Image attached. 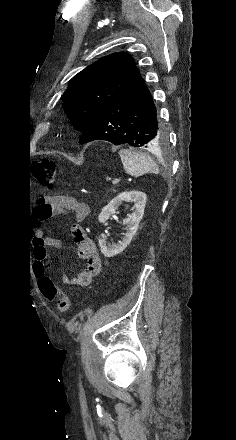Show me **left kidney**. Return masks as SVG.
<instances>
[{
	"mask_svg": "<svg viewBox=\"0 0 236 440\" xmlns=\"http://www.w3.org/2000/svg\"><path fill=\"white\" fill-rule=\"evenodd\" d=\"M146 194L140 191L122 192L113 198L108 205H106L98 216L100 223L105 224L109 217L116 213V210L123 202H134L135 210L123 220L126 226V234L117 244L107 246V238L105 234H101L99 238L100 250L105 257H113L121 253L131 242L133 236L136 234L139 223L142 220L144 209L146 205Z\"/></svg>",
	"mask_w": 236,
	"mask_h": 440,
	"instance_id": "obj_1",
	"label": "left kidney"
}]
</instances>
